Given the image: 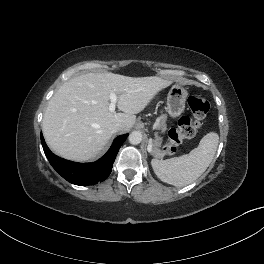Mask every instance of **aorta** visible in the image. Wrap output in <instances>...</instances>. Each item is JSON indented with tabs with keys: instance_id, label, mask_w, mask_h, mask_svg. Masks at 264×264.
I'll list each match as a JSON object with an SVG mask.
<instances>
[{
	"instance_id": "762f6f07",
	"label": "aorta",
	"mask_w": 264,
	"mask_h": 264,
	"mask_svg": "<svg viewBox=\"0 0 264 264\" xmlns=\"http://www.w3.org/2000/svg\"><path fill=\"white\" fill-rule=\"evenodd\" d=\"M142 141V133L140 131H133L130 135H129V142L131 144H139Z\"/></svg>"
}]
</instances>
